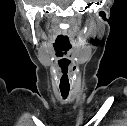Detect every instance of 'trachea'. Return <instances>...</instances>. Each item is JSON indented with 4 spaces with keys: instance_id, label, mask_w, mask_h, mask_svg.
Segmentation results:
<instances>
[{
    "instance_id": "trachea-1",
    "label": "trachea",
    "mask_w": 127,
    "mask_h": 126,
    "mask_svg": "<svg viewBox=\"0 0 127 126\" xmlns=\"http://www.w3.org/2000/svg\"><path fill=\"white\" fill-rule=\"evenodd\" d=\"M69 90H70L69 88L68 89L60 88L61 95H62L63 99H66L68 97Z\"/></svg>"
}]
</instances>
